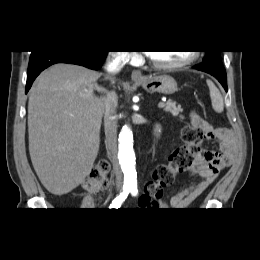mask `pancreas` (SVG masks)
<instances>
[{"mask_svg": "<svg viewBox=\"0 0 260 260\" xmlns=\"http://www.w3.org/2000/svg\"><path fill=\"white\" fill-rule=\"evenodd\" d=\"M165 112L171 113L173 116H179L181 119L184 117L180 115V113L183 111L180 105H176L173 101H167L164 107Z\"/></svg>", "mask_w": 260, "mask_h": 260, "instance_id": "cf45deb5", "label": "pancreas"}]
</instances>
